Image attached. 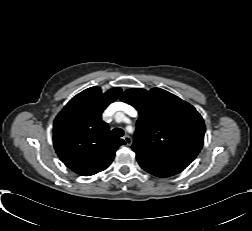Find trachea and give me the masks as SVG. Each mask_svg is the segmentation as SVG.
Returning a JSON list of instances; mask_svg holds the SVG:
<instances>
[{"label": "trachea", "instance_id": "1", "mask_svg": "<svg viewBox=\"0 0 252 231\" xmlns=\"http://www.w3.org/2000/svg\"><path fill=\"white\" fill-rule=\"evenodd\" d=\"M124 135V131L120 128H115L112 130V136L116 138H120Z\"/></svg>", "mask_w": 252, "mask_h": 231}]
</instances>
